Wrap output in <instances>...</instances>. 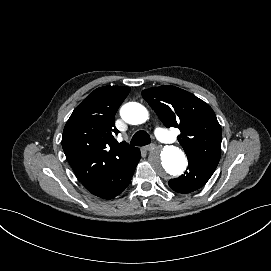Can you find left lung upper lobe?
Returning a JSON list of instances; mask_svg holds the SVG:
<instances>
[{
	"label": "left lung upper lobe",
	"mask_w": 271,
	"mask_h": 271,
	"mask_svg": "<svg viewBox=\"0 0 271 271\" xmlns=\"http://www.w3.org/2000/svg\"><path fill=\"white\" fill-rule=\"evenodd\" d=\"M167 127L179 128L178 141L188 160L209 158L218 163L221 155V126L212 108L183 89L162 85L142 91Z\"/></svg>",
	"instance_id": "1"
}]
</instances>
